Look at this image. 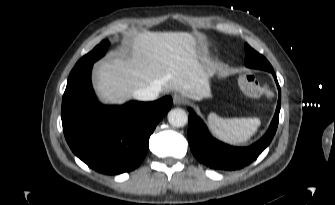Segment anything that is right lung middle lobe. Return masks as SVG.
Segmentation results:
<instances>
[{
	"instance_id": "dd1d6c3e",
	"label": "right lung middle lobe",
	"mask_w": 335,
	"mask_h": 205,
	"mask_svg": "<svg viewBox=\"0 0 335 205\" xmlns=\"http://www.w3.org/2000/svg\"><path fill=\"white\" fill-rule=\"evenodd\" d=\"M109 46V42L107 40H103L99 45H97L91 52L83 56L74 66L70 75L76 73L83 67L88 65H92L95 61L100 59L105 55L107 48Z\"/></svg>"
}]
</instances>
